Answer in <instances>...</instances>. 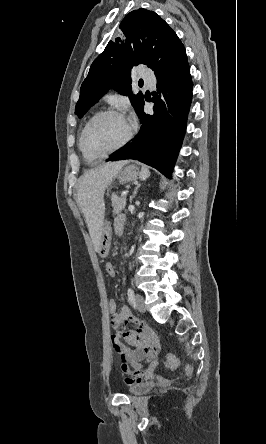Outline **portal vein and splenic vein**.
I'll use <instances>...</instances> for the list:
<instances>
[{"instance_id":"portal-vein-and-splenic-vein-1","label":"portal vein and splenic vein","mask_w":266,"mask_h":444,"mask_svg":"<svg viewBox=\"0 0 266 444\" xmlns=\"http://www.w3.org/2000/svg\"><path fill=\"white\" fill-rule=\"evenodd\" d=\"M127 194H128V191H124V192L122 193V196L126 197Z\"/></svg>"}]
</instances>
